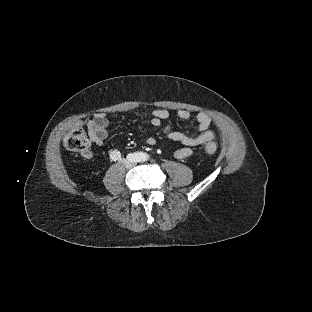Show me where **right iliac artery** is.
<instances>
[{
	"mask_svg": "<svg viewBox=\"0 0 312 312\" xmlns=\"http://www.w3.org/2000/svg\"><path fill=\"white\" fill-rule=\"evenodd\" d=\"M135 154H136V153H134V154H129V155L127 156V158H128L130 161H132V162H138L137 158H135ZM120 157H121V154H120V152L117 151V150L112 151L111 154H110V158H111L112 160H114V161H115V160H118Z\"/></svg>",
	"mask_w": 312,
	"mask_h": 312,
	"instance_id": "1",
	"label": "right iliac artery"
}]
</instances>
